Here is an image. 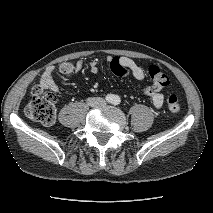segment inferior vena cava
<instances>
[{
    "mask_svg": "<svg viewBox=\"0 0 213 213\" xmlns=\"http://www.w3.org/2000/svg\"><path fill=\"white\" fill-rule=\"evenodd\" d=\"M87 103L92 107H100L106 105V101L101 97L88 98Z\"/></svg>",
    "mask_w": 213,
    "mask_h": 213,
    "instance_id": "obj_1",
    "label": "inferior vena cava"
}]
</instances>
